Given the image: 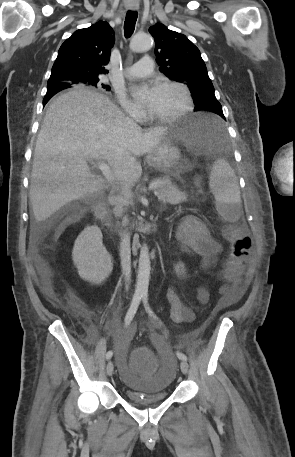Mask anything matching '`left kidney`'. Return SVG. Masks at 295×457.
Returning <instances> with one entry per match:
<instances>
[{
    "label": "left kidney",
    "instance_id": "left-kidney-1",
    "mask_svg": "<svg viewBox=\"0 0 295 457\" xmlns=\"http://www.w3.org/2000/svg\"><path fill=\"white\" fill-rule=\"evenodd\" d=\"M175 271H176V273H178L180 275L185 274L184 265L183 264H177L175 266Z\"/></svg>",
    "mask_w": 295,
    "mask_h": 457
}]
</instances>
